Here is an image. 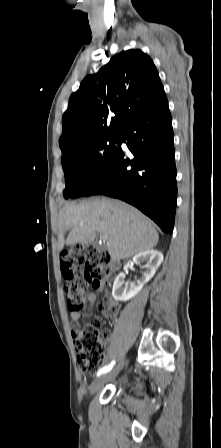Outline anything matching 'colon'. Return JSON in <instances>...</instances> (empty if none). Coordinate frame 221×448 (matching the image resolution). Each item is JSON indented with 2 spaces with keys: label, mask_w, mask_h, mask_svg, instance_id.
I'll use <instances>...</instances> for the list:
<instances>
[{
  "label": "colon",
  "mask_w": 221,
  "mask_h": 448,
  "mask_svg": "<svg viewBox=\"0 0 221 448\" xmlns=\"http://www.w3.org/2000/svg\"><path fill=\"white\" fill-rule=\"evenodd\" d=\"M110 256L93 244H77L64 251L60 267L67 284V306L72 311L82 310L90 288H98L109 275ZM78 362L86 374L100 371L104 362V336L101 323L90 320L74 331Z\"/></svg>",
  "instance_id": "colon-1"
}]
</instances>
